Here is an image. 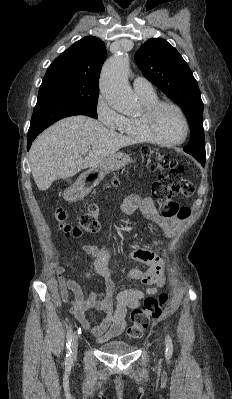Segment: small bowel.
Listing matches in <instances>:
<instances>
[{
    "instance_id": "small-bowel-1",
    "label": "small bowel",
    "mask_w": 232,
    "mask_h": 399,
    "mask_svg": "<svg viewBox=\"0 0 232 399\" xmlns=\"http://www.w3.org/2000/svg\"><path fill=\"white\" fill-rule=\"evenodd\" d=\"M126 211L141 209L145 215L155 216L156 204L152 198H142L138 193L128 195L123 202ZM173 228L167 227L165 235H173ZM88 254L94 261L97 274L102 279V290L99 293L84 298L79 285L65 277L64 269L57 266L55 269L56 284L60 297L69 305V313L74 316L79 327L84 331H91L97 344L112 341L127 326V314L129 308H137L141 301L147 297L156 295L165 285V266L152 252L138 248H118L113 244H106L103 248L86 245ZM118 252L126 259H134L148 264L152 268L151 273H144L133 268L125 276H116L108 266V260L114 252ZM120 283L151 284L144 289L121 291L115 296L116 286ZM116 297L118 308L115 314L111 312V305ZM96 310L102 315L99 323L91 327L86 318V312Z\"/></svg>"
}]
</instances>
